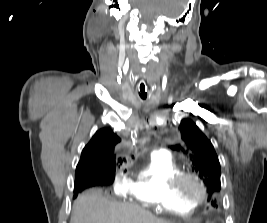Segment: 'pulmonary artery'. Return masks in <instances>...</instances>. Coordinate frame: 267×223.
<instances>
[{
  "mask_svg": "<svg viewBox=\"0 0 267 223\" xmlns=\"http://www.w3.org/2000/svg\"><path fill=\"white\" fill-rule=\"evenodd\" d=\"M156 154L163 155V156H168V151L165 149H159L156 151Z\"/></svg>",
  "mask_w": 267,
  "mask_h": 223,
  "instance_id": "e3ab8cb5",
  "label": "pulmonary artery"
}]
</instances>
